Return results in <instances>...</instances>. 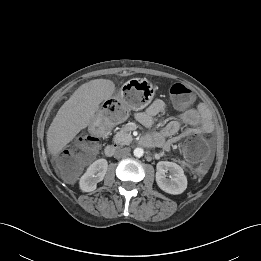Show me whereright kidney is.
<instances>
[{
	"label": "right kidney",
	"instance_id": "ca27d5eb",
	"mask_svg": "<svg viewBox=\"0 0 261 261\" xmlns=\"http://www.w3.org/2000/svg\"><path fill=\"white\" fill-rule=\"evenodd\" d=\"M108 169V162L106 159H98L93 162L80 178L79 186L83 192L94 191L97 183L104 179Z\"/></svg>",
	"mask_w": 261,
	"mask_h": 261
}]
</instances>
